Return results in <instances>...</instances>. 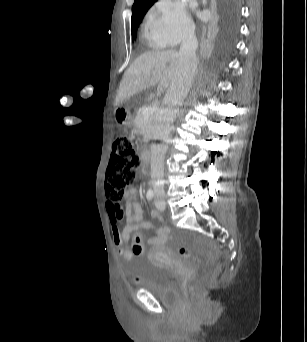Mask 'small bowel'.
<instances>
[{"instance_id":"small-bowel-1","label":"small bowel","mask_w":307,"mask_h":342,"mask_svg":"<svg viewBox=\"0 0 307 342\" xmlns=\"http://www.w3.org/2000/svg\"><path fill=\"white\" fill-rule=\"evenodd\" d=\"M108 193V192H107ZM110 226L112 231V239L114 245L117 247L118 254L125 260H131L135 255L140 253H129V240L132 233H140V229L150 230L154 226L146 221L142 215V209L137 199V192L134 188L127 193V204L125 209L126 226L121 229L119 221L123 216L118 214L115 205L107 206ZM156 217V213L152 214ZM169 240V229L165 226L156 230V236L147 240L153 250H160L164 248Z\"/></svg>"}]
</instances>
